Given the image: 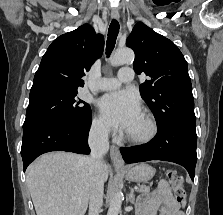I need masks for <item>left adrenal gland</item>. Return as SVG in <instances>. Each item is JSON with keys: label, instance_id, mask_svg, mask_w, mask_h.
<instances>
[{"label": "left adrenal gland", "instance_id": "1", "mask_svg": "<svg viewBox=\"0 0 223 215\" xmlns=\"http://www.w3.org/2000/svg\"><path fill=\"white\" fill-rule=\"evenodd\" d=\"M130 203H135V195H134V189L131 187L129 197H128Z\"/></svg>", "mask_w": 223, "mask_h": 215}]
</instances>
